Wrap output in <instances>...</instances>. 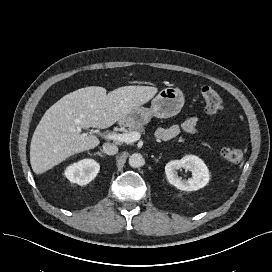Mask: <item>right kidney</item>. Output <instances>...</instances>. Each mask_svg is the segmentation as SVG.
<instances>
[{
    "label": "right kidney",
    "mask_w": 272,
    "mask_h": 272,
    "mask_svg": "<svg viewBox=\"0 0 272 272\" xmlns=\"http://www.w3.org/2000/svg\"><path fill=\"white\" fill-rule=\"evenodd\" d=\"M99 170L98 162L93 159H83L68 166L64 174L70 182L86 185L97 176Z\"/></svg>",
    "instance_id": "right-kidney-1"
}]
</instances>
